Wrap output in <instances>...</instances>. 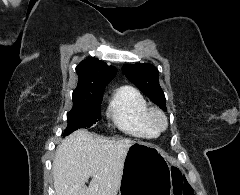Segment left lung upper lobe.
Returning a JSON list of instances; mask_svg holds the SVG:
<instances>
[{
	"label": "left lung upper lobe",
	"mask_w": 240,
	"mask_h": 195,
	"mask_svg": "<svg viewBox=\"0 0 240 195\" xmlns=\"http://www.w3.org/2000/svg\"><path fill=\"white\" fill-rule=\"evenodd\" d=\"M125 76L135 84L141 92L149 97L162 110L166 111V98L159 85L158 70L149 63L125 64L122 67Z\"/></svg>",
	"instance_id": "obj_1"
}]
</instances>
